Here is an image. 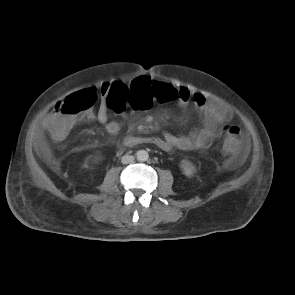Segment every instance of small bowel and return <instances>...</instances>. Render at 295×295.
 Wrapping results in <instances>:
<instances>
[{"label": "small bowel", "instance_id": "c3829d8e", "mask_svg": "<svg viewBox=\"0 0 295 295\" xmlns=\"http://www.w3.org/2000/svg\"><path fill=\"white\" fill-rule=\"evenodd\" d=\"M145 82L164 83L153 80L149 76H138L128 82V87H141ZM109 83L102 86L103 100L99 106L96 114H89L87 118L89 120H97L99 123L105 126L106 131L111 135H116L120 131V124L115 120L109 119V104L105 98V87ZM168 84V83H165ZM171 85V84H170ZM175 89L176 100L180 107L184 108L189 103H193L195 108L202 113L204 117L203 126L190 135H174L171 133H165L163 137H148L142 138L138 136H127L123 140L125 146L131 147L140 143H150L160 148L163 151L169 152L174 148L180 150H203L209 147L222 127L227 125L231 120L230 111L222 104L207 99L202 93L193 91L185 85L177 84L172 85ZM56 117L55 111H53L44 121L43 127L49 132V127ZM40 143H43V137H40ZM240 150L236 153H230L232 156L228 159L227 164L230 167L236 166L240 161Z\"/></svg>", "mask_w": 295, "mask_h": 295}]
</instances>
